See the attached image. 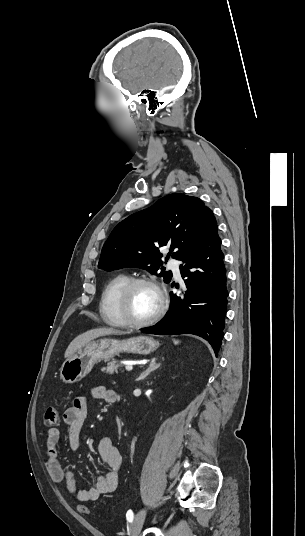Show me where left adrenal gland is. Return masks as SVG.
<instances>
[{"label":"left adrenal gland","instance_id":"a2214340","mask_svg":"<svg viewBox=\"0 0 305 536\" xmlns=\"http://www.w3.org/2000/svg\"><path fill=\"white\" fill-rule=\"evenodd\" d=\"M157 358H152V362L149 364V368L145 370V372H142L141 376L137 378V380H144V378H147L151 372H154V370H157V368H160V364H156Z\"/></svg>","mask_w":305,"mask_h":536}]
</instances>
